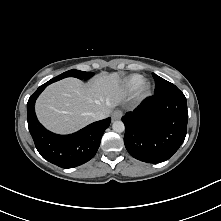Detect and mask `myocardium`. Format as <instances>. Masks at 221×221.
<instances>
[{"label": "myocardium", "instance_id": "f54148a6", "mask_svg": "<svg viewBox=\"0 0 221 221\" xmlns=\"http://www.w3.org/2000/svg\"><path fill=\"white\" fill-rule=\"evenodd\" d=\"M151 92V86L148 82H143L141 86L139 87V94L142 97H146Z\"/></svg>", "mask_w": 221, "mask_h": 221}]
</instances>
